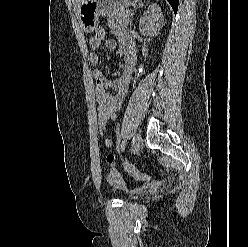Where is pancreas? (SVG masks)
Instances as JSON below:
<instances>
[{
	"label": "pancreas",
	"mask_w": 248,
	"mask_h": 247,
	"mask_svg": "<svg viewBox=\"0 0 248 247\" xmlns=\"http://www.w3.org/2000/svg\"><path fill=\"white\" fill-rule=\"evenodd\" d=\"M131 17L130 11L117 10L109 16L108 25L113 30L126 28L132 22Z\"/></svg>",
	"instance_id": "1"
}]
</instances>
